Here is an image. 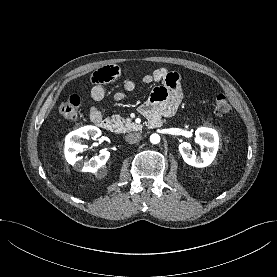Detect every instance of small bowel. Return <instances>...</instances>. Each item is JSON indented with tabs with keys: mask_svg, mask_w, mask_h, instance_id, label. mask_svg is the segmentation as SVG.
<instances>
[{
	"mask_svg": "<svg viewBox=\"0 0 277 277\" xmlns=\"http://www.w3.org/2000/svg\"><path fill=\"white\" fill-rule=\"evenodd\" d=\"M120 75V69L117 66H105L93 73L91 83L93 84L90 90L91 99L96 103H101L105 98L104 84L117 79ZM157 83L154 87L148 100L140 105L139 112L149 117L158 115L159 117L173 116L182 101L183 94L180 86V77L175 72H170L166 68L155 69L151 74L144 75L141 79V84ZM125 92H134L137 89V84L133 80H125L122 84ZM124 92L114 94L116 101L125 99ZM90 118L93 122L102 118V112L98 106L90 108Z\"/></svg>",
	"mask_w": 277,
	"mask_h": 277,
	"instance_id": "obj_1",
	"label": "small bowel"
}]
</instances>
